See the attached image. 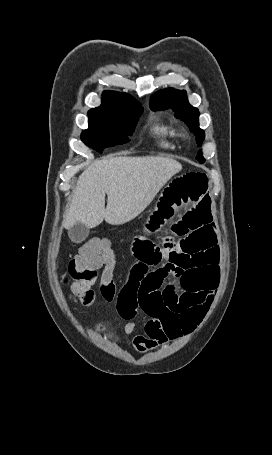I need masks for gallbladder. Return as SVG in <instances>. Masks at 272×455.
<instances>
[{
	"instance_id": "obj_1",
	"label": "gallbladder",
	"mask_w": 272,
	"mask_h": 455,
	"mask_svg": "<svg viewBox=\"0 0 272 455\" xmlns=\"http://www.w3.org/2000/svg\"><path fill=\"white\" fill-rule=\"evenodd\" d=\"M68 235L73 242L79 243L84 241L88 237L89 228L86 227L84 224L77 222L68 229Z\"/></svg>"
}]
</instances>
